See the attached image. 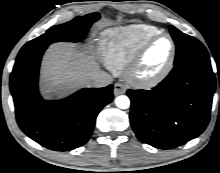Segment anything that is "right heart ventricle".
I'll return each mask as SVG.
<instances>
[{"label":"right heart ventricle","mask_w":220,"mask_h":173,"mask_svg":"<svg viewBox=\"0 0 220 173\" xmlns=\"http://www.w3.org/2000/svg\"><path fill=\"white\" fill-rule=\"evenodd\" d=\"M159 32L158 28L147 24H133L106 30L100 41L103 62L115 73H122L141 44Z\"/></svg>","instance_id":"right-heart-ventricle-1"}]
</instances>
